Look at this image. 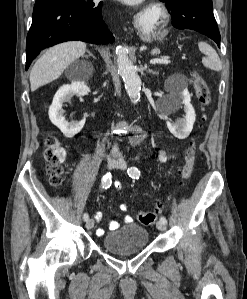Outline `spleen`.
I'll use <instances>...</instances> for the list:
<instances>
[{"mask_svg": "<svg viewBox=\"0 0 247 299\" xmlns=\"http://www.w3.org/2000/svg\"><path fill=\"white\" fill-rule=\"evenodd\" d=\"M198 47L199 50L206 55L202 60L203 65L211 70L221 71L222 62L215 49H213L208 43L202 41L198 43Z\"/></svg>", "mask_w": 247, "mask_h": 299, "instance_id": "1", "label": "spleen"}]
</instances>
